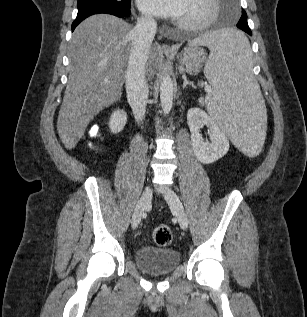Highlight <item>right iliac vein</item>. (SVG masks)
I'll use <instances>...</instances> for the list:
<instances>
[{
    "instance_id": "63e3f726",
    "label": "right iliac vein",
    "mask_w": 307,
    "mask_h": 317,
    "mask_svg": "<svg viewBox=\"0 0 307 317\" xmlns=\"http://www.w3.org/2000/svg\"><path fill=\"white\" fill-rule=\"evenodd\" d=\"M151 199H152V189L150 186H147L135 206V209L132 215V220H131V224L133 228H137L138 225L140 224L142 215L144 211L146 210V208L150 205Z\"/></svg>"
}]
</instances>
